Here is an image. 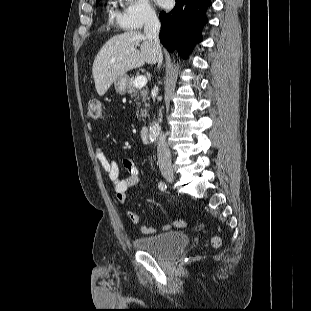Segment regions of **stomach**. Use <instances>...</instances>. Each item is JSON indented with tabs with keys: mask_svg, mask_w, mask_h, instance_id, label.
Instances as JSON below:
<instances>
[{
	"mask_svg": "<svg viewBox=\"0 0 311 311\" xmlns=\"http://www.w3.org/2000/svg\"><path fill=\"white\" fill-rule=\"evenodd\" d=\"M129 78L123 75L114 81V87L117 93L124 95L127 92Z\"/></svg>",
	"mask_w": 311,
	"mask_h": 311,
	"instance_id": "obj_1",
	"label": "stomach"
}]
</instances>
